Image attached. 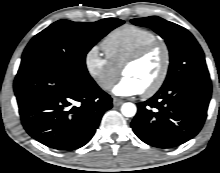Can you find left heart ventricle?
Listing matches in <instances>:
<instances>
[{"mask_svg": "<svg viewBox=\"0 0 220 173\" xmlns=\"http://www.w3.org/2000/svg\"><path fill=\"white\" fill-rule=\"evenodd\" d=\"M164 62L162 49H156L147 55L142 61L127 67L124 76L134 79L142 91L153 85L159 76Z\"/></svg>", "mask_w": 220, "mask_h": 173, "instance_id": "left-heart-ventricle-1", "label": "left heart ventricle"}]
</instances>
